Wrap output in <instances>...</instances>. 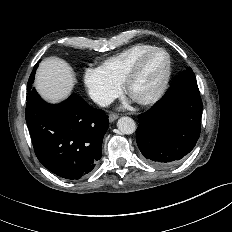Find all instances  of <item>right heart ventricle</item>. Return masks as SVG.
I'll return each instance as SVG.
<instances>
[{
    "label": "right heart ventricle",
    "mask_w": 232,
    "mask_h": 232,
    "mask_svg": "<svg viewBox=\"0 0 232 232\" xmlns=\"http://www.w3.org/2000/svg\"><path fill=\"white\" fill-rule=\"evenodd\" d=\"M151 48L153 46L148 44L133 45L106 59L100 68L114 81L122 84L136 58Z\"/></svg>",
    "instance_id": "right-heart-ventricle-1"
}]
</instances>
